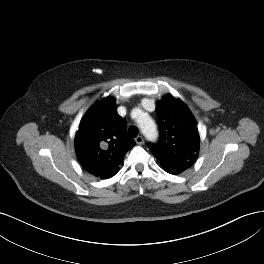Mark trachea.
Returning <instances> with one entry per match:
<instances>
[{
    "label": "trachea",
    "mask_w": 264,
    "mask_h": 264,
    "mask_svg": "<svg viewBox=\"0 0 264 264\" xmlns=\"http://www.w3.org/2000/svg\"><path fill=\"white\" fill-rule=\"evenodd\" d=\"M128 133H129L130 136H132V137H136L137 134H138V129H137V127H136V126H133V125L130 126L129 129H128Z\"/></svg>",
    "instance_id": "1"
}]
</instances>
